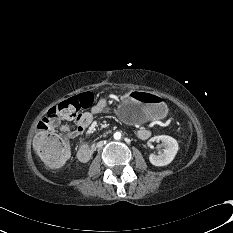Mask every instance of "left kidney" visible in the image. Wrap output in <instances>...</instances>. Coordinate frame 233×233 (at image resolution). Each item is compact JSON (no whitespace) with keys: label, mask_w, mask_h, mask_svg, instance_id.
<instances>
[{"label":"left kidney","mask_w":233,"mask_h":233,"mask_svg":"<svg viewBox=\"0 0 233 233\" xmlns=\"http://www.w3.org/2000/svg\"><path fill=\"white\" fill-rule=\"evenodd\" d=\"M154 141H162L165 149H163V152H161L159 155L151 154L149 156L150 163L154 166H166L171 163L178 152L177 141L171 136L160 135L152 137L148 144Z\"/></svg>","instance_id":"obj_1"}]
</instances>
